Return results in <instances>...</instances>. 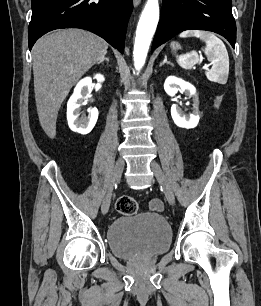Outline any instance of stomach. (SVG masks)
Wrapping results in <instances>:
<instances>
[{"label": "stomach", "mask_w": 261, "mask_h": 306, "mask_svg": "<svg viewBox=\"0 0 261 306\" xmlns=\"http://www.w3.org/2000/svg\"><path fill=\"white\" fill-rule=\"evenodd\" d=\"M171 47H172L173 50H177V49L180 48V45L177 42H172Z\"/></svg>", "instance_id": "0dacf381"}]
</instances>
